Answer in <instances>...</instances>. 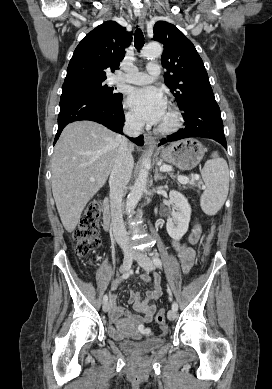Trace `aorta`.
Here are the masks:
<instances>
[{
  "label": "aorta",
  "mask_w": 272,
  "mask_h": 389,
  "mask_svg": "<svg viewBox=\"0 0 272 389\" xmlns=\"http://www.w3.org/2000/svg\"><path fill=\"white\" fill-rule=\"evenodd\" d=\"M162 46L157 42H151L145 45L141 51V55L145 58H155L162 54ZM151 154L152 150H149L146 157L143 159L139 175L127 197L126 200V212L131 214L137 203L139 202L143 192L146 190L148 171L151 166Z\"/></svg>",
  "instance_id": "obj_1"
}]
</instances>
